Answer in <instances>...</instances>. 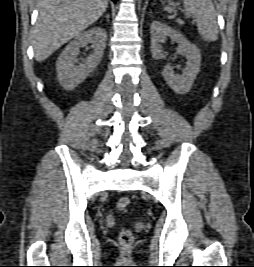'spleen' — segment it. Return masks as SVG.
Returning a JSON list of instances; mask_svg holds the SVG:
<instances>
[{
    "label": "spleen",
    "mask_w": 254,
    "mask_h": 267,
    "mask_svg": "<svg viewBox=\"0 0 254 267\" xmlns=\"http://www.w3.org/2000/svg\"><path fill=\"white\" fill-rule=\"evenodd\" d=\"M183 6L186 17L192 14L197 24V30L205 41H215L218 39L217 13L212 0H184ZM164 10L168 13H175V9L167 6Z\"/></svg>",
    "instance_id": "3e777b00"
}]
</instances>
